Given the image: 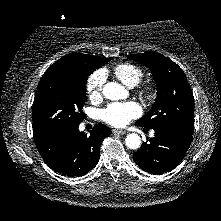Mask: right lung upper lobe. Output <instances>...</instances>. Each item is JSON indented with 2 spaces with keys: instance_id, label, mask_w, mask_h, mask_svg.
Returning <instances> with one entry per match:
<instances>
[{
  "instance_id": "right-lung-upper-lobe-1",
  "label": "right lung upper lobe",
  "mask_w": 221,
  "mask_h": 221,
  "mask_svg": "<svg viewBox=\"0 0 221 221\" xmlns=\"http://www.w3.org/2000/svg\"><path fill=\"white\" fill-rule=\"evenodd\" d=\"M107 58L85 55L81 53H70L52 64L46 72L74 71L79 72L84 67L97 69L106 64Z\"/></svg>"
}]
</instances>
